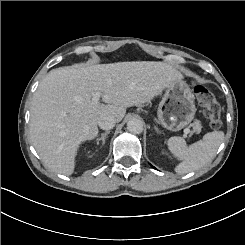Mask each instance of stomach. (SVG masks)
Segmentation results:
<instances>
[{"label":"stomach","instance_id":"obj_1","mask_svg":"<svg viewBox=\"0 0 245 245\" xmlns=\"http://www.w3.org/2000/svg\"><path fill=\"white\" fill-rule=\"evenodd\" d=\"M164 95L158 107V121L171 131H179L194 118V95L184 81H172L164 87Z\"/></svg>","mask_w":245,"mask_h":245}]
</instances>
